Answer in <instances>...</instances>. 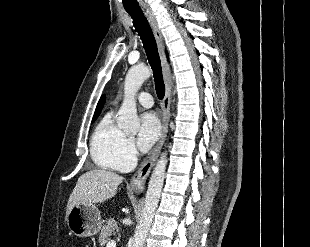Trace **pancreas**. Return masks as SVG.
I'll list each match as a JSON object with an SVG mask.
<instances>
[{
    "label": "pancreas",
    "instance_id": "cf45deb5",
    "mask_svg": "<svg viewBox=\"0 0 310 247\" xmlns=\"http://www.w3.org/2000/svg\"><path fill=\"white\" fill-rule=\"evenodd\" d=\"M119 231V228L117 226V223L114 221V219H109L104 227L101 229L100 235H99V243L101 246H104L108 240H110V236L112 234H116Z\"/></svg>",
    "mask_w": 310,
    "mask_h": 247
}]
</instances>
